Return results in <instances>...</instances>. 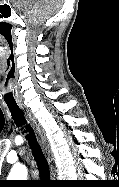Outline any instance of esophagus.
Segmentation results:
<instances>
[{
	"instance_id": "obj_1",
	"label": "esophagus",
	"mask_w": 119,
	"mask_h": 187,
	"mask_svg": "<svg viewBox=\"0 0 119 187\" xmlns=\"http://www.w3.org/2000/svg\"><path fill=\"white\" fill-rule=\"evenodd\" d=\"M28 116H29L33 126L36 128L37 132L39 133V135L42 136L40 126L37 123L36 119L30 113H28Z\"/></svg>"
}]
</instances>
